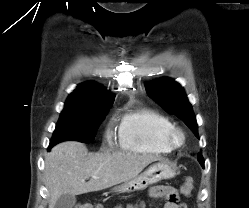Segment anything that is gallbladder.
<instances>
[{"label":"gallbladder","mask_w":249,"mask_h":208,"mask_svg":"<svg viewBox=\"0 0 249 208\" xmlns=\"http://www.w3.org/2000/svg\"><path fill=\"white\" fill-rule=\"evenodd\" d=\"M76 203V198L71 194H63L58 198L54 208H73Z\"/></svg>","instance_id":"gallbladder-1"}]
</instances>
